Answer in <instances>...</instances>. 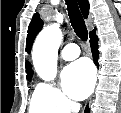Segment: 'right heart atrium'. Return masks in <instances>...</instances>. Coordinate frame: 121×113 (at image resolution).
Listing matches in <instances>:
<instances>
[{"label": "right heart atrium", "instance_id": "d8ad5b80", "mask_svg": "<svg viewBox=\"0 0 121 113\" xmlns=\"http://www.w3.org/2000/svg\"><path fill=\"white\" fill-rule=\"evenodd\" d=\"M38 89L42 100L49 106L52 113H66L73 109L72 102L52 84L41 83Z\"/></svg>", "mask_w": 121, "mask_h": 113}]
</instances>
